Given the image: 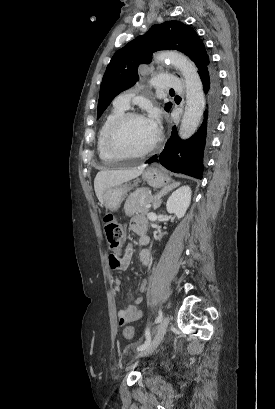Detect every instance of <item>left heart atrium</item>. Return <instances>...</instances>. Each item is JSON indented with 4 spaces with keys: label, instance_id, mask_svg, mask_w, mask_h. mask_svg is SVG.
<instances>
[{
    "label": "left heart atrium",
    "instance_id": "left-heart-atrium-1",
    "mask_svg": "<svg viewBox=\"0 0 275 409\" xmlns=\"http://www.w3.org/2000/svg\"><path fill=\"white\" fill-rule=\"evenodd\" d=\"M157 119H158V113L155 110L151 111L150 118L148 121L153 127H156Z\"/></svg>",
    "mask_w": 275,
    "mask_h": 409
}]
</instances>
